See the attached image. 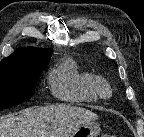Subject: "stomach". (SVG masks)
<instances>
[{
	"mask_svg": "<svg viewBox=\"0 0 144 137\" xmlns=\"http://www.w3.org/2000/svg\"><path fill=\"white\" fill-rule=\"evenodd\" d=\"M101 132V128L96 123H89L82 125L75 131H73L68 137H98Z\"/></svg>",
	"mask_w": 144,
	"mask_h": 137,
	"instance_id": "1",
	"label": "stomach"
}]
</instances>
